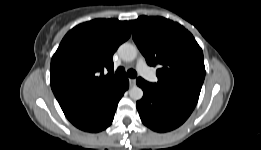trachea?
<instances>
[{"label":"trachea","instance_id":"trachea-1","mask_svg":"<svg viewBox=\"0 0 261 150\" xmlns=\"http://www.w3.org/2000/svg\"><path fill=\"white\" fill-rule=\"evenodd\" d=\"M115 74L117 76H123V75H125V69L123 67H119L116 70ZM127 76H129L130 78H135L137 76V72L135 70H133V69H129L127 71Z\"/></svg>","mask_w":261,"mask_h":150}]
</instances>
